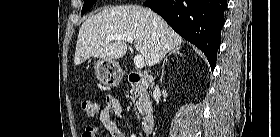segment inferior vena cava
Returning a JSON list of instances; mask_svg holds the SVG:
<instances>
[{"instance_id": "inferior-vena-cava-1", "label": "inferior vena cava", "mask_w": 280, "mask_h": 137, "mask_svg": "<svg viewBox=\"0 0 280 137\" xmlns=\"http://www.w3.org/2000/svg\"><path fill=\"white\" fill-rule=\"evenodd\" d=\"M160 90H159V87H158V85L155 87V90H154V92L155 93H158Z\"/></svg>"}]
</instances>
